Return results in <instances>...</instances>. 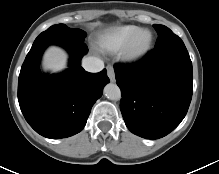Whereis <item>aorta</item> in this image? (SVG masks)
I'll list each match as a JSON object with an SVG mask.
<instances>
[{
    "label": "aorta",
    "instance_id": "1",
    "mask_svg": "<svg viewBox=\"0 0 219 174\" xmlns=\"http://www.w3.org/2000/svg\"><path fill=\"white\" fill-rule=\"evenodd\" d=\"M104 94L110 100H120L121 98V90L120 88L113 83H109L104 87Z\"/></svg>",
    "mask_w": 219,
    "mask_h": 174
}]
</instances>
